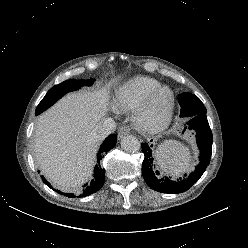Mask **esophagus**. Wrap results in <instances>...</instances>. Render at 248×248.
Masks as SVG:
<instances>
[{
    "mask_svg": "<svg viewBox=\"0 0 248 248\" xmlns=\"http://www.w3.org/2000/svg\"><path fill=\"white\" fill-rule=\"evenodd\" d=\"M130 132H131V129H130L129 126H126V125L121 126V127L119 128V131H118V137L121 139V138H123L124 136L130 134Z\"/></svg>",
    "mask_w": 248,
    "mask_h": 248,
    "instance_id": "esophagus-1",
    "label": "esophagus"
}]
</instances>
